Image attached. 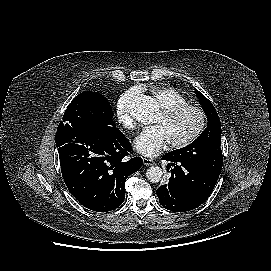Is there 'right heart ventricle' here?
Segmentation results:
<instances>
[{
  "label": "right heart ventricle",
  "mask_w": 271,
  "mask_h": 271,
  "mask_svg": "<svg viewBox=\"0 0 271 271\" xmlns=\"http://www.w3.org/2000/svg\"><path fill=\"white\" fill-rule=\"evenodd\" d=\"M150 92L162 109L171 106L184 105L188 102L184 95L171 87L156 86L152 87Z\"/></svg>",
  "instance_id": "e07e8e85"
}]
</instances>
